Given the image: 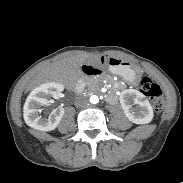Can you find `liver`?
Wrapping results in <instances>:
<instances>
[{
	"label": "liver",
	"mask_w": 183,
	"mask_h": 183,
	"mask_svg": "<svg viewBox=\"0 0 183 183\" xmlns=\"http://www.w3.org/2000/svg\"><path fill=\"white\" fill-rule=\"evenodd\" d=\"M88 57L89 56L85 54L82 56L66 58L52 64L45 73V77L38 79L34 82L33 86L46 80L63 83H70L73 80H76L80 74V66L88 59Z\"/></svg>",
	"instance_id": "liver-1"
}]
</instances>
